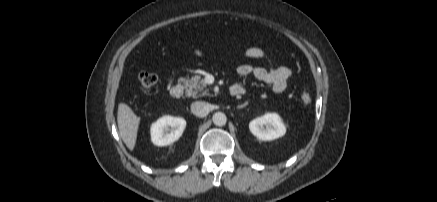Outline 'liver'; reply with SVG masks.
Masks as SVG:
<instances>
[{
	"label": "liver",
	"mask_w": 437,
	"mask_h": 202,
	"mask_svg": "<svg viewBox=\"0 0 437 202\" xmlns=\"http://www.w3.org/2000/svg\"><path fill=\"white\" fill-rule=\"evenodd\" d=\"M117 122L119 135L129 150L135 148L140 117L125 103L118 105Z\"/></svg>",
	"instance_id": "6515ba94"
}]
</instances>
